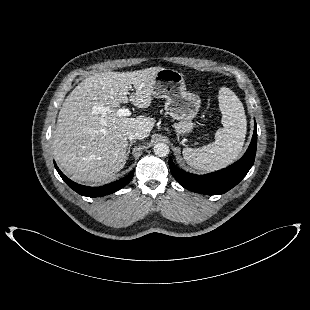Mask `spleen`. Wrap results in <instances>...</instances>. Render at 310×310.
<instances>
[{"label":"spleen","instance_id":"spleen-1","mask_svg":"<svg viewBox=\"0 0 310 310\" xmlns=\"http://www.w3.org/2000/svg\"><path fill=\"white\" fill-rule=\"evenodd\" d=\"M219 106L223 128L217 130L215 141L199 147L183 149L187 164L199 171L220 170L240 155L247 131V121L241 101L229 88L219 91Z\"/></svg>","mask_w":310,"mask_h":310}]
</instances>
